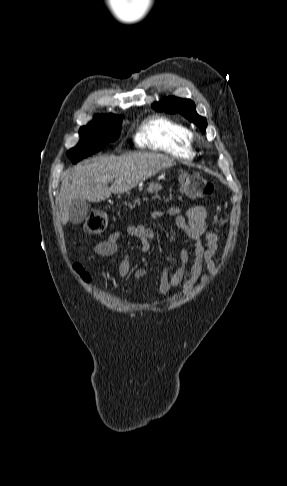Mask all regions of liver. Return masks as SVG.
I'll return each mask as SVG.
<instances>
[{
	"instance_id": "obj_1",
	"label": "liver",
	"mask_w": 287,
	"mask_h": 486,
	"mask_svg": "<svg viewBox=\"0 0 287 486\" xmlns=\"http://www.w3.org/2000/svg\"><path fill=\"white\" fill-rule=\"evenodd\" d=\"M176 165L174 159L162 154L128 153L121 156H99L78 164L63 174L59 194V209L63 225L70 219L72 200L104 201L112 193L122 194L159 171ZM115 179L109 188L108 183Z\"/></svg>"
}]
</instances>
